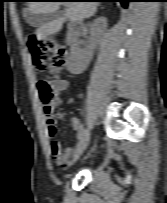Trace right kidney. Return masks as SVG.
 Instances as JSON below:
<instances>
[{
	"mask_svg": "<svg viewBox=\"0 0 167 203\" xmlns=\"http://www.w3.org/2000/svg\"><path fill=\"white\" fill-rule=\"evenodd\" d=\"M107 27V19L105 17H99L92 25L91 29L97 34H100ZM80 42H76L71 47V53L68 59V70L72 74H81L88 66L92 52L91 50H83L80 48Z\"/></svg>",
	"mask_w": 167,
	"mask_h": 203,
	"instance_id": "1",
	"label": "right kidney"
}]
</instances>
